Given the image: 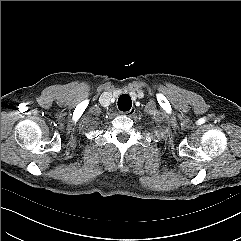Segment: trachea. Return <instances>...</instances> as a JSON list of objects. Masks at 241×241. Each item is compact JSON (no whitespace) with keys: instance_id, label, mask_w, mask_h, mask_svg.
I'll use <instances>...</instances> for the list:
<instances>
[{"instance_id":"obj_1","label":"trachea","mask_w":241,"mask_h":241,"mask_svg":"<svg viewBox=\"0 0 241 241\" xmlns=\"http://www.w3.org/2000/svg\"><path fill=\"white\" fill-rule=\"evenodd\" d=\"M132 107V100L129 95L123 94L118 98V108L121 111H129Z\"/></svg>"}]
</instances>
